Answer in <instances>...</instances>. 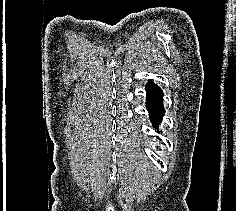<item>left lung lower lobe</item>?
<instances>
[{"label":"left lung lower lobe","instance_id":"0a47b994","mask_svg":"<svg viewBox=\"0 0 236 211\" xmlns=\"http://www.w3.org/2000/svg\"><path fill=\"white\" fill-rule=\"evenodd\" d=\"M146 92V107L150 115V121L154 127H158L164 114L162 90L150 81L146 85Z\"/></svg>","mask_w":236,"mask_h":211}]
</instances>
